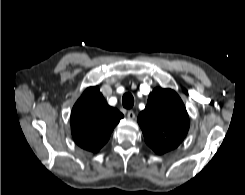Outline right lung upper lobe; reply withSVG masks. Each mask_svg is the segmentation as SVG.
I'll return each mask as SVG.
<instances>
[{"label":"right lung upper lobe","mask_w":245,"mask_h":195,"mask_svg":"<svg viewBox=\"0 0 245 195\" xmlns=\"http://www.w3.org/2000/svg\"><path fill=\"white\" fill-rule=\"evenodd\" d=\"M121 118L123 114L107 104L98 86L89 87L72 109V136L83 149L97 152Z\"/></svg>","instance_id":"cb5924a9"}]
</instances>
